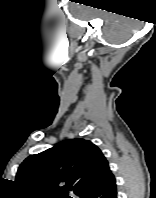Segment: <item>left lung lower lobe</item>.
Returning a JSON list of instances; mask_svg holds the SVG:
<instances>
[{"label": "left lung lower lobe", "instance_id": "0a47b994", "mask_svg": "<svg viewBox=\"0 0 156 198\" xmlns=\"http://www.w3.org/2000/svg\"><path fill=\"white\" fill-rule=\"evenodd\" d=\"M80 198H117L116 180L112 172L110 171L97 186L84 192Z\"/></svg>", "mask_w": 156, "mask_h": 198}]
</instances>
